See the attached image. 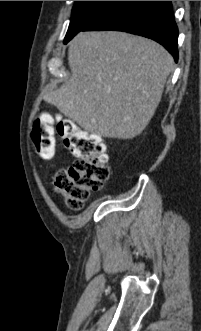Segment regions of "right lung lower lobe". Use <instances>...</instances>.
I'll return each instance as SVG.
<instances>
[{
	"label": "right lung lower lobe",
	"mask_w": 201,
	"mask_h": 331,
	"mask_svg": "<svg viewBox=\"0 0 201 331\" xmlns=\"http://www.w3.org/2000/svg\"><path fill=\"white\" fill-rule=\"evenodd\" d=\"M117 30L163 45L178 61V28L171 1H114L81 31Z\"/></svg>",
	"instance_id": "1"
}]
</instances>
